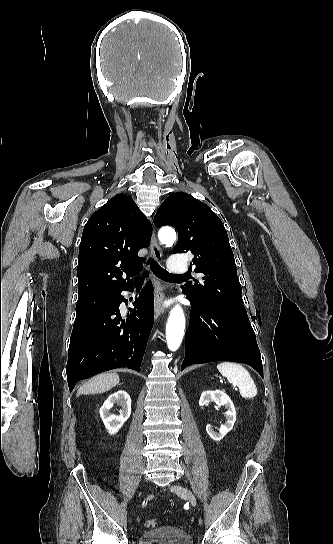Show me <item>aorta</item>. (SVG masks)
I'll return each mask as SVG.
<instances>
[{
	"instance_id": "aorta-1",
	"label": "aorta",
	"mask_w": 333,
	"mask_h": 544,
	"mask_svg": "<svg viewBox=\"0 0 333 544\" xmlns=\"http://www.w3.org/2000/svg\"><path fill=\"white\" fill-rule=\"evenodd\" d=\"M159 240L166 246H172L176 240V233L170 227H163L158 233ZM185 329V316L180 305H175L170 311L166 325V340L168 348L176 351L182 342Z\"/></svg>"
}]
</instances>
